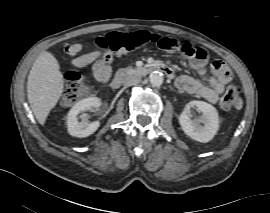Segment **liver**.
<instances>
[{
  "label": "liver",
  "instance_id": "6515ba94",
  "mask_svg": "<svg viewBox=\"0 0 270 213\" xmlns=\"http://www.w3.org/2000/svg\"><path fill=\"white\" fill-rule=\"evenodd\" d=\"M64 88L59 63L52 53L43 51L35 60L27 81L30 107L41 125L59 101Z\"/></svg>",
  "mask_w": 270,
  "mask_h": 213
}]
</instances>
